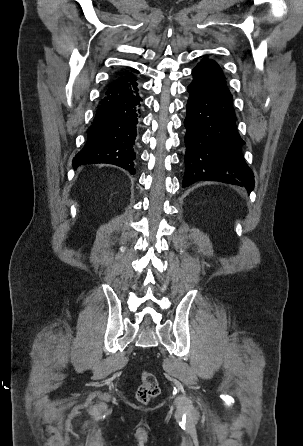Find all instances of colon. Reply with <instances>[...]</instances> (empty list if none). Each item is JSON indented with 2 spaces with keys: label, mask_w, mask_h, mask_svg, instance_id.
Returning a JSON list of instances; mask_svg holds the SVG:
<instances>
[{
  "label": "colon",
  "mask_w": 303,
  "mask_h": 446,
  "mask_svg": "<svg viewBox=\"0 0 303 446\" xmlns=\"http://www.w3.org/2000/svg\"><path fill=\"white\" fill-rule=\"evenodd\" d=\"M141 379L142 383L136 391V398L140 403L147 404L159 394V383L156 376L149 371H143Z\"/></svg>",
  "instance_id": "1"
}]
</instances>
